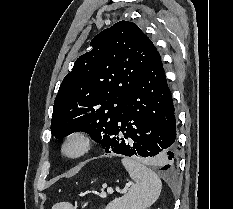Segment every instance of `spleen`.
Segmentation results:
<instances>
[{"label": "spleen", "mask_w": 233, "mask_h": 209, "mask_svg": "<svg viewBox=\"0 0 233 209\" xmlns=\"http://www.w3.org/2000/svg\"><path fill=\"white\" fill-rule=\"evenodd\" d=\"M122 164L134 181L127 194L110 202L106 209H147L158 199L162 183L151 169L132 158H123ZM52 209H72L66 202L55 204Z\"/></svg>", "instance_id": "obj_1"}]
</instances>
